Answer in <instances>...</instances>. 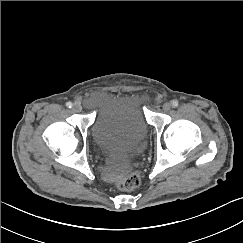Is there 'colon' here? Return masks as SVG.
Listing matches in <instances>:
<instances>
[{
    "mask_svg": "<svg viewBox=\"0 0 243 243\" xmlns=\"http://www.w3.org/2000/svg\"><path fill=\"white\" fill-rule=\"evenodd\" d=\"M140 184V175L133 171L118 183V188L122 191H132Z\"/></svg>",
    "mask_w": 243,
    "mask_h": 243,
    "instance_id": "colon-1",
    "label": "colon"
}]
</instances>
